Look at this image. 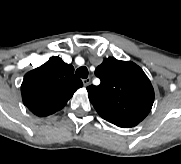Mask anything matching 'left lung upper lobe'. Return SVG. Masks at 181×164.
Returning <instances> with one entry per match:
<instances>
[{
    "label": "left lung upper lobe",
    "instance_id": "obj_1",
    "mask_svg": "<svg viewBox=\"0 0 181 164\" xmlns=\"http://www.w3.org/2000/svg\"><path fill=\"white\" fill-rule=\"evenodd\" d=\"M100 85L87 87L98 114L110 123L129 128L139 124L150 112L154 89L143 70L131 61L104 59L95 70Z\"/></svg>",
    "mask_w": 181,
    "mask_h": 164
}]
</instances>
